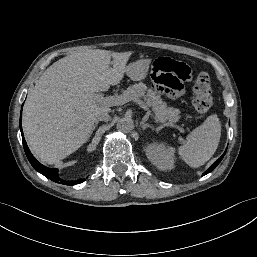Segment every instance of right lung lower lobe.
Returning a JSON list of instances; mask_svg holds the SVG:
<instances>
[{"label": "right lung lower lobe", "instance_id": "1", "mask_svg": "<svg viewBox=\"0 0 257 257\" xmlns=\"http://www.w3.org/2000/svg\"><path fill=\"white\" fill-rule=\"evenodd\" d=\"M21 119H22V112L20 115V129H21V134H22V140H23V147L25 150V154L29 160V162L31 163V165L34 167V169L36 171H38L39 173H41L42 175H44L45 177H47L48 179L56 182V183H60V184H64V185H75V184H79L85 181V179H79L76 181H65L62 180L59 175H58V169L56 168H48L42 164H40L31 154L26 141L23 137V131H22V125H21Z\"/></svg>", "mask_w": 257, "mask_h": 257}]
</instances>
